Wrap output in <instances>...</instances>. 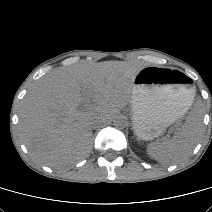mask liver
Masks as SVG:
<instances>
[{
    "instance_id": "obj_1",
    "label": "liver",
    "mask_w": 212,
    "mask_h": 212,
    "mask_svg": "<svg viewBox=\"0 0 212 212\" xmlns=\"http://www.w3.org/2000/svg\"><path fill=\"white\" fill-rule=\"evenodd\" d=\"M140 69L124 61L83 62L38 80L19 112V135L32 157L51 167L87 157L92 126L111 119L130 102ZM87 100L94 106L79 110Z\"/></svg>"
}]
</instances>
